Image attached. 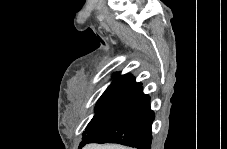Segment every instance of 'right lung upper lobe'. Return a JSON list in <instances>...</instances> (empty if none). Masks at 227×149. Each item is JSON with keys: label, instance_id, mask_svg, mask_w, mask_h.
<instances>
[{"label": "right lung upper lobe", "instance_id": "right-lung-upper-lobe-1", "mask_svg": "<svg viewBox=\"0 0 227 149\" xmlns=\"http://www.w3.org/2000/svg\"><path fill=\"white\" fill-rule=\"evenodd\" d=\"M113 78L114 80L108 88L142 89L141 83H137L131 74L120 75L117 72L113 75Z\"/></svg>", "mask_w": 227, "mask_h": 149}]
</instances>
